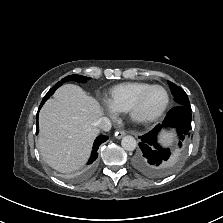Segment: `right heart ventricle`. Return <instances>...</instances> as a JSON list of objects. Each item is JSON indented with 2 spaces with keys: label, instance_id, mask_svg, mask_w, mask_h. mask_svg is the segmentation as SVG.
<instances>
[{
  "label": "right heart ventricle",
  "instance_id": "e07e8e85",
  "mask_svg": "<svg viewBox=\"0 0 223 223\" xmlns=\"http://www.w3.org/2000/svg\"><path fill=\"white\" fill-rule=\"evenodd\" d=\"M152 84L125 82L112 87L108 94L109 106L117 112H128L138 96Z\"/></svg>",
  "mask_w": 223,
  "mask_h": 223
}]
</instances>
